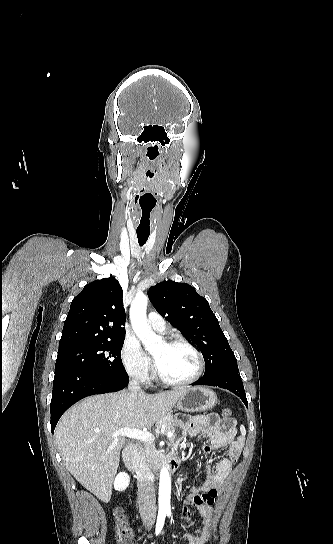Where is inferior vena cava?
I'll list each match as a JSON object with an SVG mask.
<instances>
[{"instance_id": "inferior-vena-cava-1", "label": "inferior vena cava", "mask_w": 333, "mask_h": 544, "mask_svg": "<svg viewBox=\"0 0 333 544\" xmlns=\"http://www.w3.org/2000/svg\"><path fill=\"white\" fill-rule=\"evenodd\" d=\"M128 388L134 395L143 393L136 379L130 380ZM133 466L137 475L140 515L143 519H152L156 516L157 511L155 489L150 480V469L144 461L143 454L136 453Z\"/></svg>"}]
</instances>
